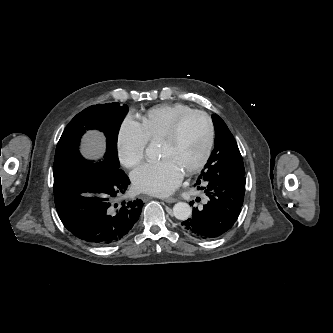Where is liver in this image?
<instances>
[{
    "label": "liver",
    "mask_w": 333,
    "mask_h": 333,
    "mask_svg": "<svg viewBox=\"0 0 333 333\" xmlns=\"http://www.w3.org/2000/svg\"><path fill=\"white\" fill-rule=\"evenodd\" d=\"M103 149L104 138L97 132H88L83 142L84 154L91 157H97L102 153Z\"/></svg>",
    "instance_id": "6515ba94"
}]
</instances>
